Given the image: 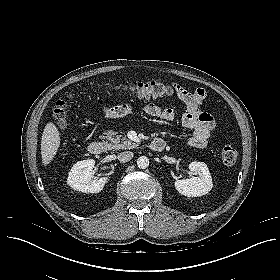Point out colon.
<instances>
[{
	"label": "colon",
	"mask_w": 280,
	"mask_h": 280,
	"mask_svg": "<svg viewBox=\"0 0 280 280\" xmlns=\"http://www.w3.org/2000/svg\"><path fill=\"white\" fill-rule=\"evenodd\" d=\"M171 91L168 85L159 80L137 83L114 82L100 84L97 87V92L100 94L119 92L139 98L164 97L169 95ZM73 97V95H70L67 99L58 100L53 107V116L61 131H63L68 124L70 101ZM123 111L126 114L131 113V106L128 104L123 105ZM237 156L238 153L233 147H225L221 153L222 162L226 166H232L236 162Z\"/></svg>",
	"instance_id": "5ec220e1"
}]
</instances>
